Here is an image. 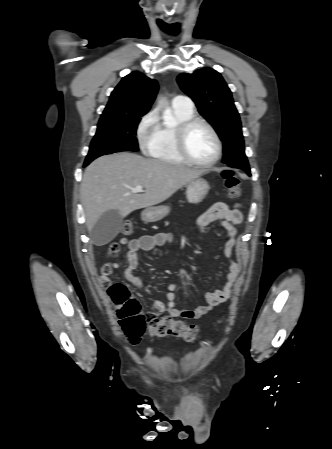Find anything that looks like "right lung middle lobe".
<instances>
[{"mask_svg":"<svg viewBox=\"0 0 332 449\" xmlns=\"http://www.w3.org/2000/svg\"><path fill=\"white\" fill-rule=\"evenodd\" d=\"M143 115H114L101 117L91 142L85 164L95 158L121 151H138L135 137Z\"/></svg>","mask_w":332,"mask_h":449,"instance_id":"obj_1","label":"right lung middle lobe"}]
</instances>
